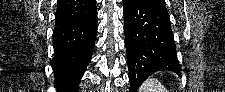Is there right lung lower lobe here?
<instances>
[{
	"label": "right lung lower lobe",
	"instance_id": "1",
	"mask_svg": "<svg viewBox=\"0 0 225 92\" xmlns=\"http://www.w3.org/2000/svg\"><path fill=\"white\" fill-rule=\"evenodd\" d=\"M97 10L76 21L55 25L51 66L60 92H76L95 45Z\"/></svg>",
	"mask_w": 225,
	"mask_h": 92
}]
</instances>
